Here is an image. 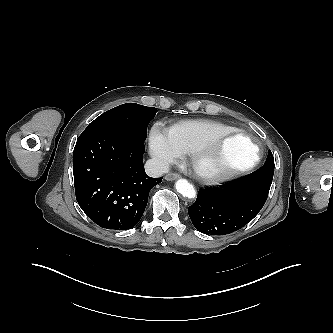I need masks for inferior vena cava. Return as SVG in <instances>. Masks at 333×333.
Wrapping results in <instances>:
<instances>
[{
    "label": "inferior vena cava",
    "instance_id": "obj_1",
    "mask_svg": "<svg viewBox=\"0 0 333 333\" xmlns=\"http://www.w3.org/2000/svg\"><path fill=\"white\" fill-rule=\"evenodd\" d=\"M169 163L163 159L154 157L145 164V171L150 177H159L169 171Z\"/></svg>",
    "mask_w": 333,
    "mask_h": 333
}]
</instances>
